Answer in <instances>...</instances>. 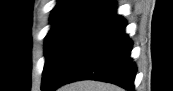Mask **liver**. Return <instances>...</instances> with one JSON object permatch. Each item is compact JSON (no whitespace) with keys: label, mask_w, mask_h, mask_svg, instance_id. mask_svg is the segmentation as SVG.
Segmentation results:
<instances>
[{"label":"liver","mask_w":173,"mask_h":91,"mask_svg":"<svg viewBox=\"0 0 173 91\" xmlns=\"http://www.w3.org/2000/svg\"><path fill=\"white\" fill-rule=\"evenodd\" d=\"M58 91H123V90L113 84L88 80V81H79L67 84L59 88Z\"/></svg>","instance_id":"6515ba94"}]
</instances>
